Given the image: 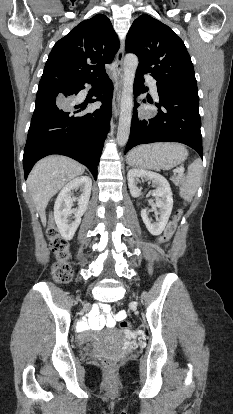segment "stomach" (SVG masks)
<instances>
[{
    "instance_id": "0dacf381",
    "label": "stomach",
    "mask_w": 233,
    "mask_h": 414,
    "mask_svg": "<svg viewBox=\"0 0 233 414\" xmlns=\"http://www.w3.org/2000/svg\"><path fill=\"white\" fill-rule=\"evenodd\" d=\"M188 156L186 148L178 143H156L142 145L127 156L130 165L147 169H171Z\"/></svg>"
}]
</instances>
